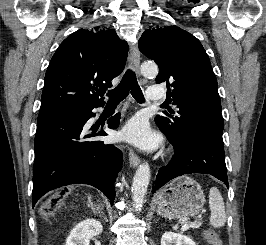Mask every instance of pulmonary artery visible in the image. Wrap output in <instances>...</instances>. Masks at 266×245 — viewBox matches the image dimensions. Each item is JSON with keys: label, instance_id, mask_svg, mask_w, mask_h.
Segmentation results:
<instances>
[{"label": "pulmonary artery", "instance_id": "pulmonary-artery-1", "mask_svg": "<svg viewBox=\"0 0 266 245\" xmlns=\"http://www.w3.org/2000/svg\"><path fill=\"white\" fill-rule=\"evenodd\" d=\"M147 95L148 96H153V97H150V100H153V101H162V87L161 86H148L147 87Z\"/></svg>", "mask_w": 266, "mask_h": 245}]
</instances>
